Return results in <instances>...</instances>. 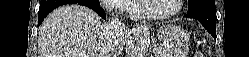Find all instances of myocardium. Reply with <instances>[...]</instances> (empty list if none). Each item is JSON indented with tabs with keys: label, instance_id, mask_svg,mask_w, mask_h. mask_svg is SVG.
Returning a JSON list of instances; mask_svg holds the SVG:
<instances>
[{
	"label": "myocardium",
	"instance_id": "f54148a6",
	"mask_svg": "<svg viewBox=\"0 0 249 57\" xmlns=\"http://www.w3.org/2000/svg\"><path fill=\"white\" fill-rule=\"evenodd\" d=\"M148 1L149 0H139V5L141 13L144 15V17L150 20H167L179 14L183 7V0H176L177 6L172 12L166 14H154L149 11Z\"/></svg>",
	"mask_w": 249,
	"mask_h": 57
}]
</instances>
